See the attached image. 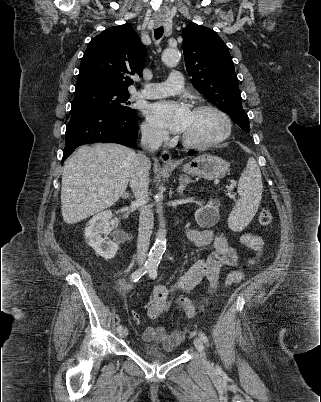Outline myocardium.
<instances>
[{
	"label": "myocardium",
	"instance_id": "1",
	"mask_svg": "<svg viewBox=\"0 0 321 402\" xmlns=\"http://www.w3.org/2000/svg\"><path fill=\"white\" fill-rule=\"evenodd\" d=\"M201 110H210L218 114L224 122V130L221 133V135L218 136L217 138L203 142L192 141L188 139L186 136L182 135L181 140L186 147L194 149H207L215 147L224 142L232 133V120L224 110L213 104H199L193 108V111H201Z\"/></svg>",
	"mask_w": 321,
	"mask_h": 402
}]
</instances>
